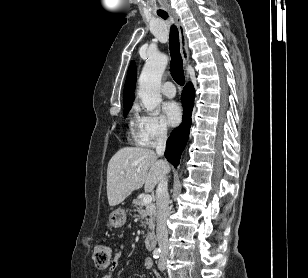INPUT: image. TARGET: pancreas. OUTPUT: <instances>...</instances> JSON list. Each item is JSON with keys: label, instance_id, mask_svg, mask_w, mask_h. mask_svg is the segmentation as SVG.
Masks as SVG:
<instances>
[{"label": "pancreas", "instance_id": "obj_1", "mask_svg": "<svg viewBox=\"0 0 308 278\" xmlns=\"http://www.w3.org/2000/svg\"><path fill=\"white\" fill-rule=\"evenodd\" d=\"M135 211L140 215V218L143 220L141 225L147 227L150 231L155 229V220H156V207L154 203H144L142 199H136L133 201Z\"/></svg>", "mask_w": 308, "mask_h": 278}]
</instances>
